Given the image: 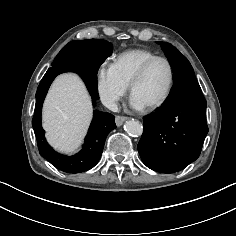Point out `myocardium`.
<instances>
[{"instance_id":"f54148a6","label":"myocardium","mask_w":236,"mask_h":236,"mask_svg":"<svg viewBox=\"0 0 236 236\" xmlns=\"http://www.w3.org/2000/svg\"><path fill=\"white\" fill-rule=\"evenodd\" d=\"M158 61H163L167 64V66L169 68L170 76H169V82H168L167 89H166L165 93L163 94V96L160 99H158L157 101L144 106L145 109L150 110V111L158 109L159 107L163 106L167 102V100L169 99V97L173 91L174 83H175V70H174V66H173L172 62L168 58L162 57V56H156V57L148 60L147 62H145L141 66V68L138 70V72L136 73V75L134 76V78L132 79V81L129 85L130 86V93L133 96L135 88L143 80V78L145 77V75L147 74V72L151 68V66Z\"/></svg>"}]
</instances>
